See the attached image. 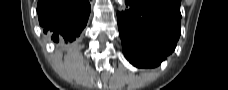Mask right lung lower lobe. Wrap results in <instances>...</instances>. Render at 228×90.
Segmentation results:
<instances>
[{
    "instance_id": "obj_1",
    "label": "right lung lower lobe",
    "mask_w": 228,
    "mask_h": 90,
    "mask_svg": "<svg viewBox=\"0 0 228 90\" xmlns=\"http://www.w3.org/2000/svg\"><path fill=\"white\" fill-rule=\"evenodd\" d=\"M88 0H38L40 26L60 46L79 37L90 14Z\"/></svg>"
}]
</instances>
